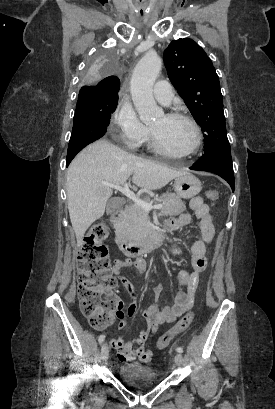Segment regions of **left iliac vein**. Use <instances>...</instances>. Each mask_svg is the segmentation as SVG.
Masks as SVG:
<instances>
[{
    "label": "left iliac vein",
    "mask_w": 275,
    "mask_h": 409,
    "mask_svg": "<svg viewBox=\"0 0 275 409\" xmlns=\"http://www.w3.org/2000/svg\"><path fill=\"white\" fill-rule=\"evenodd\" d=\"M183 363V355L181 353H177L175 356V364L176 366L180 367Z\"/></svg>",
    "instance_id": "4c4485c4"
}]
</instances>
